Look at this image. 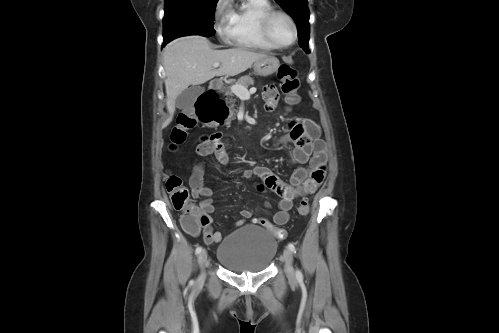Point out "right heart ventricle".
Listing matches in <instances>:
<instances>
[{"mask_svg":"<svg viewBox=\"0 0 499 333\" xmlns=\"http://www.w3.org/2000/svg\"><path fill=\"white\" fill-rule=\"evenodd\" d=\"M273 9L270 0H243L240 5L230 6V35L232 45L253 50L271 51L275 47L264 37L261 19Z\"/></svg>","mask_w":499,"mask_h":333,"instance_id":"obj_1","label":"right heart ventricle"}]
</instances>
